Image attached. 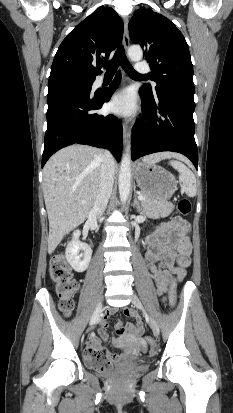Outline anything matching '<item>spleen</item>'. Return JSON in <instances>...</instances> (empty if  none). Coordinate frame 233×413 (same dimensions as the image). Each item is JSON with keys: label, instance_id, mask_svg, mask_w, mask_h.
<instances>
[{"label": "spleen", "instance_id": "obj_1", "mask_svg": "<svg viewBox=\"0 0 233 413\" xmlns=\"http://www.w3.org/2000/svg\"><path fill=\"white\" fill-rule=\"evenodd\" d=\"M171 166L179 172V183L188 197L196 195V177L194 173L180 161H170Z\"/></svg>", "mask_w": 233, "mask_h": 413}]
</instances>
